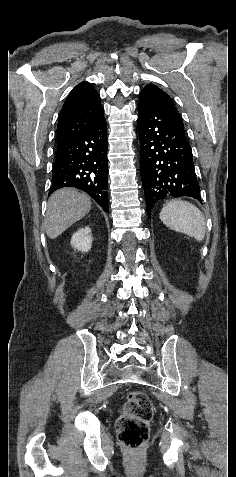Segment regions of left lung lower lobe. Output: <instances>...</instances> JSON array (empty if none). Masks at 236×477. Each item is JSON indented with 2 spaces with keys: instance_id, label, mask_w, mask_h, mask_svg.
I'll return each instance as SVG.
<instances>
[{
  "instance_id": "0a47b994",
  "label": "left lung lower lobe",
  "mask_w": 236,
  "mask_h": 477,
  "mask_svg": "<svg viewBox=\"0 0 236 477\" xmlns=\"http://www.w3.org/2000/svg\"><path fill=\"white\" fill-rule=\"evenodd\" d=\"M138 113L140 172L148 217L151 218L153 206L164 198L188 196L201 201L192 150L184 128L148 89L140 94Z\"/></svg>"
}]
</instances>
